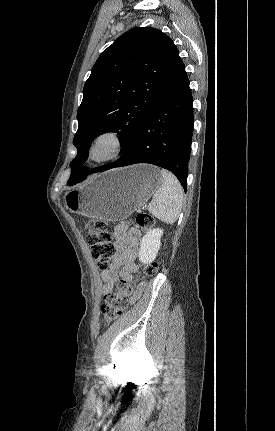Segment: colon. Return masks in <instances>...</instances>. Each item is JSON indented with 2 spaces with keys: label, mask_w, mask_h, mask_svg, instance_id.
Here are the masks:
<instances>
[{
  "label": "colon",
  "mask_w": 275,
  "mask_h": 431,
  "mask_svg": "<svg viewBox=\"0 0 275 431\" xmlns=\"http://www.w3.org/2000/svg\"><path fill=\"white\" fill-rule=\"evenodd\" d=\"M135 223L143 229H148L153 226L154 220L150 215L141 213L137 215ZM106 228V223L96 220L93 222V230L87 236L92 256L101 270H106L110 266L115 255V246ZM157 269L158 265L155 262L147 264L143 267V274L152 276ZM132 291L130 283L122 280L118 291L105 295V303L101 309L105 322L114 321L122 316L128 306Z\"/></svg>",
  "instance_id": "obj_1"
}]
</instances>
